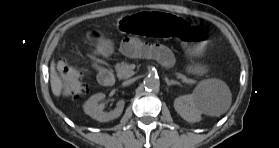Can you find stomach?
I'll return each mask as SVG.
<instances>
[{
    "label": "stomach",
    "mask_w": 279,
    "mask_h": 148,
    "mask_svg": "<svg viewBox=\"0 0 279 148\" xmlns=\"http://www.w3.org/2000/svg\"><path fill=\"white\" fill-rule=\"evenodd\" d=\"M118 25L125 33L142 31L157 41L180 43L181 49L193 56L202 54L214 40V29L208 22L194 16L168 15L159 10L124 16ZM82 39L98 58H107L113 52L112 41L99 27L87 28Z\"/></svg>",
    "instance_id": "obj_1"
}]
</instances>
